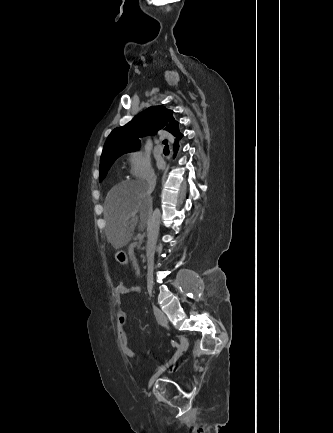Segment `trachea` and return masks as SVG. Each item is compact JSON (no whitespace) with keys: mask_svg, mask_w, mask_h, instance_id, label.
Here are the masks:
<instances>
[{"mask_svg":"<svg viewBox=\"0 0 333 433\" xmlns=\"http://www.w3.org/2000/svg\"><path fill=\"white\" fill-rule=\"evenodd\" d=\"M163 144L165 145V148L168 149V141H167V140H164V141H163Z\"/></svg>","mask_w":333,"mask_h":433,"instance_id":"1","label":"trachea"}]
</instances>
